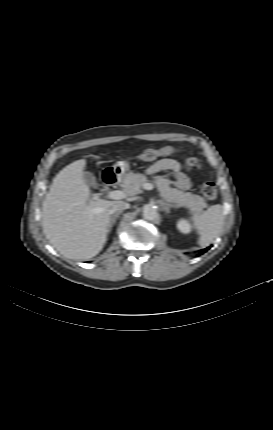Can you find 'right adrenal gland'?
Listing matches in <instances>:
<instances>
[{
	"label": "right adrenal gland",
	"instance_id": "right-adrenal-gland-1",
	"mask_svg": "<svg viewBox=\"0 0 273 430\" xmlns=\"http://www.w3.org/2000/svg\"><path fill=\"white\" fill-rule=\"evenodd\" d=\"M121 213H122L121 211L112 213L111 218H110V223H109V232L111 231L113 225L116 223V220Z\"/></svg>",
	"mask_w": 273,
	"mask_h": 430
}]
</instances>
